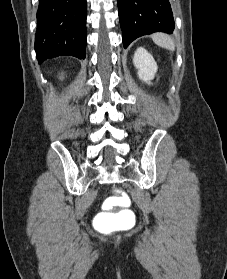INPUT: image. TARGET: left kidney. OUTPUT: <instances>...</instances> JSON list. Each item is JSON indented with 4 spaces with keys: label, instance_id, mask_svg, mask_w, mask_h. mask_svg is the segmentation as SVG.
Wrapping results in <instances>:
<instances>
[{
    "label": "left kidney",
    "instance_id": "1",
    "mask_svg": "<svg viewBox=\"0 0 227 279\" xmlns=\"http://www.w3.org/2000/svg\"><path fill=\"white\" fill-rule=\"evenodd\" d=\"M133 63L138 69V77L150 84L157 72V64L151 54L143 47H139L134 54Z\"/></svg>",
    "mask_w": 227,
    "mask_h": 279
}]
</instances>
